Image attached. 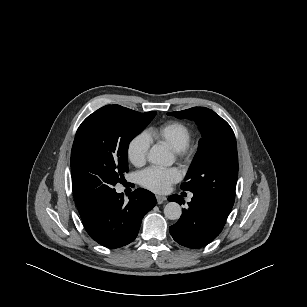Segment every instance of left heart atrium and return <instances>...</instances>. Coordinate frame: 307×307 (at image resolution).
Here are the masks:
<instances>
[{
  "instance_id": "obj_1",
  "label": "left heart atrium",
  "mask_w": 307,
  "mask_h": 307,
  "mask_svg": "<svg viewBox=\"0 0 307 307\" xmlns=\"http://www.w3.org/2000/svg\"><path fill=\"white\" fill-rule=\"evenodd\" d=\"M138 179L144 188L156 193H164L181 179V173L177 168L149 167L139 173Z\"/></svg>"
}]
</instances>
